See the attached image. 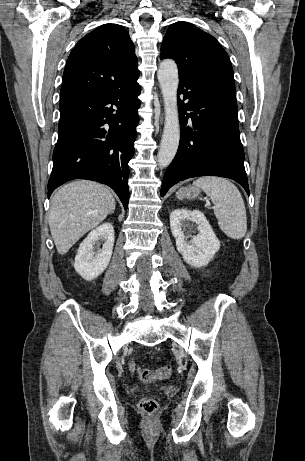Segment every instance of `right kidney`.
<instances>
[{
    "label": "right kidney",
    "instance_id": "ca27d5eb",
    "mask_svg": "<svg viewBox=\"0 0 305 461\" xmlns=\"http://www.w3.org/2000/svg\"><path fill=\"white\" fill-rule=\"evenodd\" d=\"M103 239L102 249L95 252L94 245ZM114 245V228L111 223H103L82 241L75 257L74 268L85 280L97 278L107 268Z\"/></svg>",
    "mask_w": 305,
    "mask_h": 461
}]
</instances>
